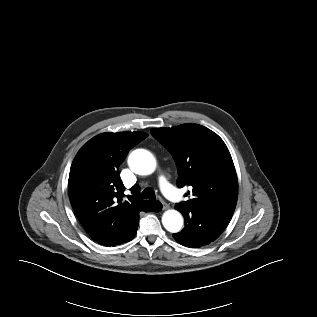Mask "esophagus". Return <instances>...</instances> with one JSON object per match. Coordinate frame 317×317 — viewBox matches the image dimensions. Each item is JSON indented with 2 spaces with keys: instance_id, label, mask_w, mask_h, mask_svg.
<instances>
[{
  "instance_id": "obj_1",
  "label": "esophagus",
  "mask_w": 317,
  "mask_h": 317,
  "mask_svg": "<svg viewBox=\"0 0 317 317\" xmlns=\"http://www.w3.org/2000/svg\"><path fill=\"white\" fill-rule=\"evenodd\" d=\"M163 210L169 209V205L166 202H162Z\"/></svg>"
}]
</instances>
